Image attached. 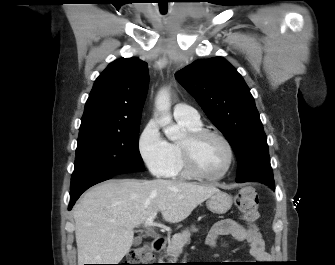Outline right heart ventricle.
Listing matches in <instances>:
<instances>
[{"instance_id": "1", "label": "right heart ventricle", "mask_w": 335, "mask_h": 265, "mask_svg": "<svg viewBox=\"0 0 335 265\" xmlns=\"http://www.w3.org/2000/svg\"><path fill=\"white\" fill-rule=\"evenodd\" d=\"M177 121L182 127H184L189 132L202 129L201 122L200 123H189V122L181 121V120H177ZM170 145H171V149L173 152V163L166 177L173 178V179H191L192 176L186 171L184 164H183L180 143L172 142L170 143Z\"/></svg>"}]
</instances>
